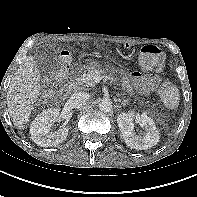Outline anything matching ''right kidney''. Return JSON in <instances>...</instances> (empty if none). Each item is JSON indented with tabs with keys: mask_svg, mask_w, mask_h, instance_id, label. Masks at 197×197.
<instances>
[{
	"mask_svg": "<svg viewBox=\"0 0 197 197\" xmlns=\"http://www.w3.org/2000/svg\"><path fill=\"white\" fill-rule=\"evenodd\" d=\"M60 121V109L50 108L43 111L30 126L32 141L41 147H52L62 143L68 135V126H61L57 131H51L52 123Z\"/></svg>",
	"mask_w": 197,
	"mask_h": 197,
	"instance_id": "1",
	"label": "right kidney"
}]
</instances>
